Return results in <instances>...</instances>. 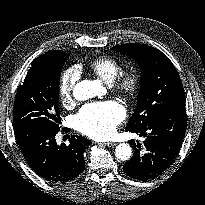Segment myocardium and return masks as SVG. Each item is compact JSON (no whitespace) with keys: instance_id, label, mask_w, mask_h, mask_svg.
Instances as JSON below:
<instances>
[{"instance_id":"1","label":"myocardium","mask_w":205,"mask_h":205,"mask_svg":"<svg viewBox=\"0 0 205 205\" xmlns=\"http://www.w3.org/2000/svg\"><path fill=\"white\" fill-rule=\"evenodd\" d=\"M141 82L140 71L136 67L130 66L119 72L113 80V86L120 94L132 96L139 90Z\"/></svg>"}]
</instances>
